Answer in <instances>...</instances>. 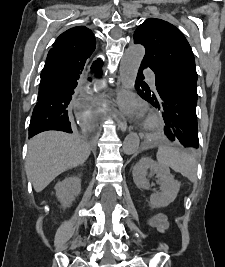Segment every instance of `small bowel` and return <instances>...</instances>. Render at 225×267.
Instances as JSON below:
<instances>
[{
    "mask_svg": "<svg viewBox=\"0 0 225 267\" xmlns=\"http://www.w3.org/2000/svg\"><path fill=\"white\" fill-rule=\"evenodd\" d=\"M149 226L159 232H166L169 228V222L166 216L162 214H156L149 218Z\"/></svg>",
    "mask_w": 225,
    "mask_h": 267,
    "instance_id": "c3829d8e",
    "label": "small bowel"
}]
</instances>
